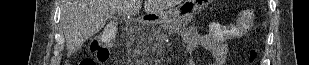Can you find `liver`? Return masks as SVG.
I'll list each match as a JSON object with an SVG mask.
<instances>
[{"mask_svg":"<svg viewBox=\"0 0 309 65\" xmlns=\"http://www.w3.org/2000/svg\"><path fill=\"white\" fill-rule=\"evenodd\" d=\"M182 0H145L146 13L161 14ZM142 0H62L61 23L68 52L82 48L86 40L98 33L116 12L136 15Z\"/></svg>","mask_w":309,"mask_h":65,"instance_id":"obj_1","label":"liver"}]
</instances>
